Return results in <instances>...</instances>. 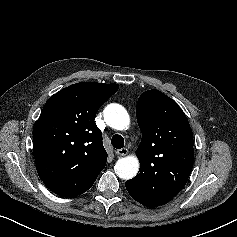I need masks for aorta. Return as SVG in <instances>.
<instances>
[{"instance_id":"obj_1","label":"aorta","mask_w":237,"mask_h":237,"mask_svg":"<svg viewBox=\"0 0 237 237\" xmlns=\"http://www.w3.org/2000/svg\"><path fill=\"white\" fill-rule=\"evenodd\" d=\"M104 119L110 127L116 130H123L127 128L130 123L127 110L116 103L106 106L104 109ZM114 168L118 177L129 180L138 173L139 161L135 156H127L119 159Z\"/></svg>"}]
</instances>
